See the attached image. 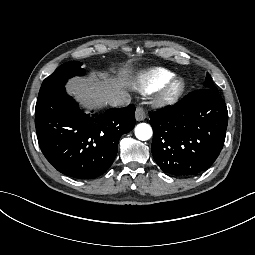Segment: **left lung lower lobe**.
<instances>
[{
  "instance_id": "0a47b994",
  "label": "left lung lower lobe",
  "mask_w": 255,
  "mask_h": 255,
  "mask_svg": "<svg viewBox=\"0 0 255 255\" xmlns=\"http://www.w3.org/2000/svg\"><path fill=\"white\" fill-rule=\"evenodd\" d=\"M151 151L163 172L194 176L207 170L225 141L228 112L216 90L189 93L172 107L150 112Z\"/></svg>"
}]
</instances>
